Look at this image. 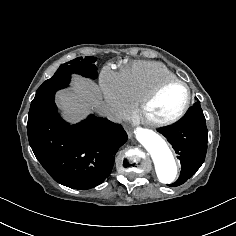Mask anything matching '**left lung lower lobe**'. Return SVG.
I'll list each match as a JSON object with an SVG mask.
<instances>
[{"mask_svg":"<svg viewBox=\"0 0 236 236\" xmlns=\"http://www.w3.org/2000/svg\"><path fill=\"white\" fill-rule=\"evenodd\" d=\"M158 131L167 138L181 162L180 176L169 186L182 185L201 167L207 152L208 130L200 102H195L180 122Z\"/></svg>","mask_w":236,"mask_h":236,"instance_id":"obj_1","label":"left lung lower lobe"}]
</instances>
